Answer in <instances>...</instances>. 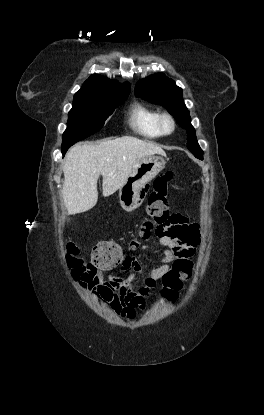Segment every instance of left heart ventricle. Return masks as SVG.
I'll return each mask as SVG.
<instances>
[{
    "mask_svg": "<svg viewBox=\"0 0 264 415\" xmlns=\"http://www.w3.org/2000/svg\"><path fill=\"white\" fill-rule=\"evenodd\" d=\"M166 127L169 128V124L168 123H166Z\"/></svg>",
    "mask_w": 264,
    "mask_h": 415,
    "instance_id": "1",
    "label": "left heart ventricle"
}]
</instances>
